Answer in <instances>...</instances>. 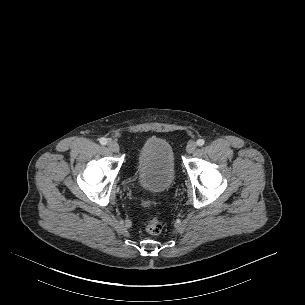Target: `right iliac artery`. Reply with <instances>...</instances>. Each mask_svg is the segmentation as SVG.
<instances>
[{
	"label": "right iliac artery",
	"mask_w": 305,
	"mask_h": 305,
	"mask_svg": "<svg viewBox=\"0 0 305 305\" xmlns=\"http://www.w3.org/2000/svg\"><path fill=\"white\" fill-rule=\"evenodd\" d=\"M100 143L102 144V145H106L107 144V139L106 138H100Z\"/></svg>",
	"instance_id": "82829eb1"
}]
</instances>
